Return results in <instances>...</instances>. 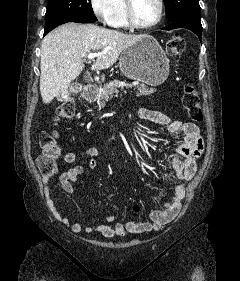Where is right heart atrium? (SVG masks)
<instances>
[{
	"label": "right heart atrium",
	"mask_w": 240,
	"mask_h": 281,
	"mask_svg": "<svg viewBox=\"0 0 240 281\" xmlns=\"http://www.w3.org/2000/svg\"><path fill=\"white\" fill-rule=\"evenodd\" d=\"M113 1L114 0H89L90 8L99 21L109 24L114 12Z\"/></svg>",
	"instance_id": "1"
}]
</instances>
